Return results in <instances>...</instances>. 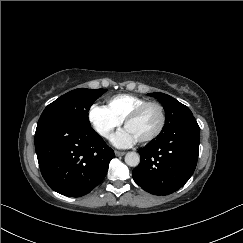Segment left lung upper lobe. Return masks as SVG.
I'll return each mask as SVG.
<instances>
[{
  "label": "left lung upper lobe",
  "mask_w": 243,
  "mask_h": 243,
  "mask_svg": "<svg viewBox=\"0 0 243 243\" xmlns=\"http://www.w3.org/2000/svg\"><path fill=\"white\" fill-rule=\"evenodd\" d=\"M148 95L157 98L163 104L166 112L165 125L161 132L167 131L189 117H194L187 106L167 94L157 92Z\"/></svg>",
  "instance_id": "5c2ea615"
}]
</instances>
